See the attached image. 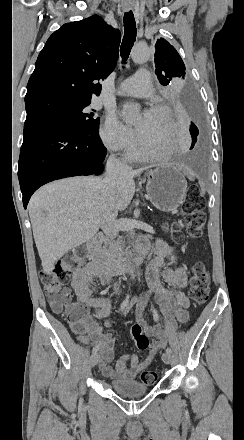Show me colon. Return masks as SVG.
I'll list each match as a JSON object with an SVG mask.
<instances>
[{"label": "colon", "instance_id": "5ec220e1", "mask_svg": "<svg viewBox=\"0 0 244 440\" xmlns=\"http://www.w3.org/2000/svg\"><path fill=\"white\" fill-rule=\"evenodd\" d=\"M185 222L188 234L191 237H198L203 233L206 214L201 200L200 193L193 191L184 206ZM174 239L182 238V223L173 221L171 223ZM66 259L57 262L53 271H46L40 274V281L43 290L48 298L50 306L55 312L64 313L71 323L74 332L82 333L90 323L86 314L89 311L87 305H78L72 302V294L68 287L70 273L77 270V263L82 265V261L88 254L85 248H67L65 251ZM79 257L82 259L81 261ZM78 261V262H77ZM192 280L189 296L196 305H203L209 297V287L211 282L210 274L204 264L195 263L191 268ZM132 334L138 350L146 351L149 348V338L143 333L141 327L133 325ZM158 374L154 369L144 370L141 374L143 383L151 385L157 380Z\"/></svg>", "mask_w": 244, "mask_h": 440}]
</instances>
